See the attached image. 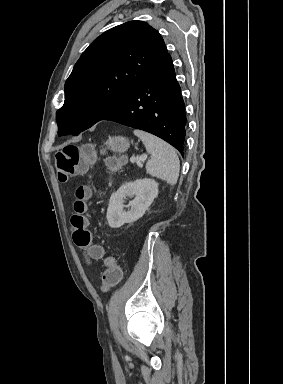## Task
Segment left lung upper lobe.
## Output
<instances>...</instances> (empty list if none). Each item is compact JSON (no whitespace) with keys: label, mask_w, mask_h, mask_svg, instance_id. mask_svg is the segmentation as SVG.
<instances>
[{"label":"left lung upper lobe","mask_w":283,"mask_h":384,"mask_svg":"<svg viewBox=\"0 0 283 384\" xmlns=\"http://www.w3.org/2000/svg\"><path fill=\"white\" fill-rule=\"evenodd\" d=\"M166 53L159 32L143 21L126 22L96 38L65 82V102L56 113L59 135H78L102 120Z\"/></svg>","instance_id":"left-lung-upper-lobe-1"}]
</instances>
